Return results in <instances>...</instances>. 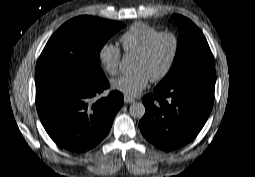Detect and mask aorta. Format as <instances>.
<instances>
[{
	"instance_id": "aorta-1",
	"label": "aorta",
	"mask_w": 255,
	"mask_h": 177,
	"mask_svg": "<svg viewBox=\"0 0 255 177\" xmlns=\"http://www.w3.org/2000/svg\"><path fill=\"white\" fill-rule=\"evenodd\" d=\"M128 66H129V59L127 56H123L121 64H120V68L126 69ZM129 112L133 118L141 119L143 118L145 114V106L141 102H134L130 105Z\"/></svg>"
}]
</instances>
